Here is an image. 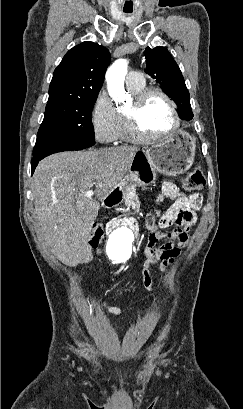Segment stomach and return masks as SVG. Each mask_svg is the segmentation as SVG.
Here are the masks:
<instances>
[{
	"mask_svg": "<svg viewBox=\"0 0 243 409\" xmlns=\"http://www.w3.org/2000/svg\"><path fill=\"white\" fill-rule=\"evenodd\" d=\"M195 148V141L189 133L177 131L165 141L138 152L126 180L133 184H147L158 172L168 176L182 174L193 164Z\"/></svg>",
	"mask_w": 243,
	"mask_h": 409,
	"instance_id": "obj_1",
	"label": "stomach"
}]
</instances>
